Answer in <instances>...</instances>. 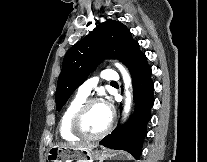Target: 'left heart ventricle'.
<instances>
[{"label":"left heart ventricle","instance_id":"b2bd125f","mask_svg":"<svg viewBox=\"0 0 207 162\" xmlns=\"http://www.w3.org/2000/svg\"><path fill=\"white\" fill-rule=\"evenodd\" d=\"M111 114L102 103L94 104L89 108L83 118V129L88 134H98L102 132L109 123Z\"/></svg>","mask_w":207,"mask_h":162}]
</instances>
